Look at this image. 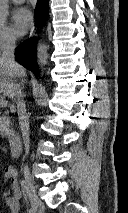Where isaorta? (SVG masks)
<instances>
[{
    "label": "aorta",
    "instance_id": "1",
    "mask_svg": "<svg viewBox=\"0 0 128 213\" xmlns=\"http://www.w3.org/2000/svg\"><path fill=\"white\" fill-rule=\"evenodd\" d=\"M8 0H0V24L4 23L8 17ZM48 47L46 44L41 43L37 48V61L43 67L47 64L48 60Z\"/></svg>",
    "mask_w": 128,
    "mask_h": 213
}]
</instances>
